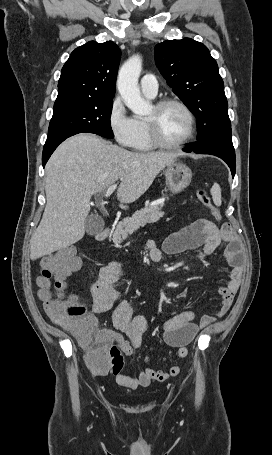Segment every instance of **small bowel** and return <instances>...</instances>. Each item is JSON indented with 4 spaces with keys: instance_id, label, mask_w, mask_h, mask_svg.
I'll use <instances>...</instances> for the list:
<instances>
[{
    "instance_id": "c3829d8e",
    "label": "small bowel",
    "mask_w": 272,
    "mask_h": 455,
    "mask_svg": "<svg viewBox=\"0 0 272 455\" xmlns=\"http://www.w3.org/2000/svg\"><path fill=\"white\" fill-rule=\"evenodd\" d=\"M222 242L227 243L224 256L231 267L228 284L218 289L222 301L217 316H223L232 305L244 273L239 245L230 225L218 228L210 220L197 219L167 236L161 249L153 240L146 242V248L150 259L154 262L161 259L162 252L173 255L189 251L194 252L192 258L195 261L203 262ZM120 274L121 263L118 261H112L101 269L99 279L91 288L92 310L93 313L99 314L108 312L114 307L112 315L114 330L101 329L97 336L108 344L117 345L124 354L130 355L133 349L141 344L142 336L149 329L150 323L146 317L135 315L129 302L121 301L116 304L120 294L116 288ZM188 293V289L185 288L179 292L177 298H186ZM90 316L93 318L92 315ZM194 319L193 311L184 310L168 318L162 324L163 339L167 345L177 348L179 358L187 356L183 352H188L187 345L193 341L199 330L215 321L212 316L202 317L199 323H196ZM147 361L149 360L147 359ZM179 372L178 365L171 366L168 371L157 370L149 365L146 369L134 374H125L120 371L113 373L121 386L135 389L139 386H148L151 381H165L170 376L178 375Z\"/></svg>"
}]
</instances>
